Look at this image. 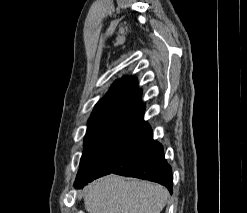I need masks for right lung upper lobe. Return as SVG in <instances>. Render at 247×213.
<instances>
[{"instance_id": "cb5924a9", "label": "right lung upper lobe", "mask_w": 247, "mask_h": 213, "mask_svg": "<svg viewBox=\"0 0 247 213\" xmlns=\"http://www.w3.org/2000/svg\"><path fill=\"white\" fill-rule=\"evenodd\" d=\"M141 94L142 90L137 88L136 78L116 80L109 92L96 104L89 121L109 111L134 108L141 103Z\"/></svg>"}]
</instances>
